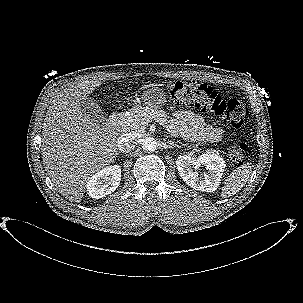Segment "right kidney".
Masks as SVG:
<instances>
[{
  "label": "right kidney",
  "instance_id": "obj_1",
  "mask_svg": "<svg viewBox=\"0 0 303 303\" xmlns=\"http://www.w3.org/2000/svg\"><path fill=\"white\" fill-rule=\"evenodd\" d=\"M121 179L119 165L105 167L90 177L87 182V192L92 198L99 199L115 191Z\"/></svg>",
  "mask_w": 303,
  "mask_h": 303
}]
</instances>
